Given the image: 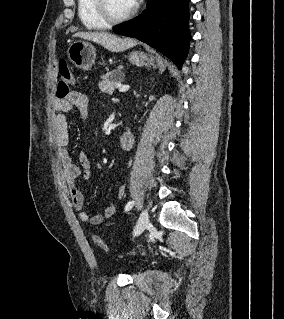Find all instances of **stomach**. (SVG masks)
I'll use <instances>...</instances> for the list:
<instances>
[{
  "label": "stomach",
  "mask_w": 284,
  "mask_h": 319,
  "mask_svg": "<svg viewBox=\"0 0 284 319\" xmlns=\"http://www.w3.org/2000/svg\"><path fill=\"white\" fill-rule=\"evenodd\" d=\"M67 55L77 68L89 70L95 62L96 50L91 43L79 40L70 44ZM128 58L137 67H156L157 58L144 52H131Z\"/></svg>",
  "instance_id": "0dacf381"
}]
</instances>
